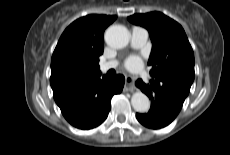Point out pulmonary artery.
I'll return each instance as SVG.
<instances>
[{
  "label": "pulmonary artery",
  "mask_w": 230,
  "mask_h": 155,
  "mask_svg": "<svg viewBox=\"0 0 230 155\" xmlns=\"http://www.w3.org/2000/svg\"><path fill=\"white\" fill-rule=\"evenodd\" d=\"M148 31L142 27H133L131 30V45L134 48L143 47L148 40ZM118 65L116 60H110L101 63L99 69L101 72H107L110 69H114Z\"/></svg>",
  "instance_id": "obj_1"
}]
</instances>
